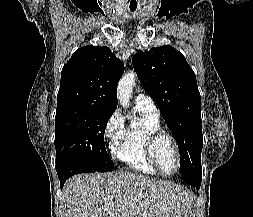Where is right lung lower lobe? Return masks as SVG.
Segmentation results:
<instances>
[{
	"instance_id": "right-lung-lower-lobe-1",
	"label": "right lung lower lobe",
	"mask_w": 253,
	"mask_h": 217,
	"mask_svg": "<svg viewBox=\"0 0 253 217\" xmlns=\"http://www.w3.org/2000/svg\"><path fill=\"white\" fill-rule=\"evenodd\" d=\"M56 171L60 179L61 188L65 181L72 175L90 172L86 163L76 158H68L64 161L56 162Z\"/></svg>"
}]
</instances>
